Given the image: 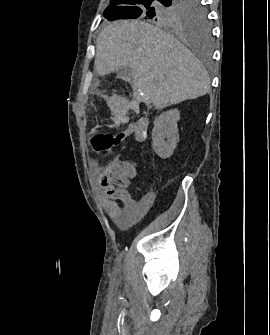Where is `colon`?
<instances>
[{
  "instance_id": "1",
  "label": "colon",
  "mask_w": 270,
  "mask_h": 335,
  "mask_svg": "<svg viewBox=\"0 0 270 335\" xmlns=\"http://www.w3.org/2000/svg\"><path fill=\"white\" fill-rule=\"evenodd\" d=\"M131 134L127 129L118 133L98 132L91 138L93 151L96 153H104L121 145L125 139Z\"/></svg>"
}]
</instances>
